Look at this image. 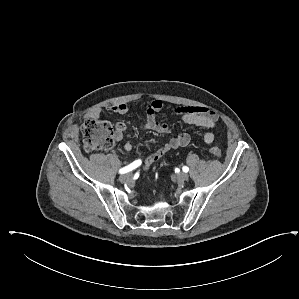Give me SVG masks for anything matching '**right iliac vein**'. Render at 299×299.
Here are the masks:
<instances>
[{
  "label": "right iliac vein",
  "instance_id": "obj_1",
  "mask_svg": "<svg viewBox=\"0 0 299 299\" xmlns=\"http://www.w3.org/2000/svg\"><path fill=\"white\" fill-rule=\"evenodd\" d=\"M132 178V174L131 173H127V174H124V175H121L119 180L122 182V183H125V182H128L130 181Z\"/></svg>",
  "mask_w": 299,
  "mask_h": 299
}]
</instances>
